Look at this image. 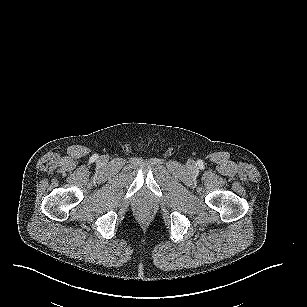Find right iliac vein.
Here are the masks:
<instances>
[{
	"label": "right iliac vein",
	"mask_w": 307,
	"mask_h": 307,
	"mask_svg": "<svg viewBox=\"0 0 307 307\" xmlns=\"http://www.w3.org/2000/svg\"><path fill=\"white\" fill-rule=\"evenodd\" d=\"M105 162V158L101 157L100 160L98 161V163L103 164Z\"/></svg>",
	"instance_id": "63e3f726"
}]
</instances>
